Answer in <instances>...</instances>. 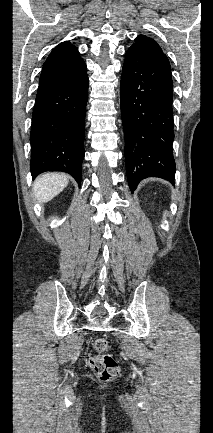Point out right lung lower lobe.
I'll return each mask as SVG.
<instances>
[{
    "instance_id": "98d812e1",
    "label": "right lung lower lobe",
    "mask_w": 213,
    "mask_h": 433,
    "mask_svg": "<svg viewBox=\"0 0 213 433\" xmlns=\"http://www.w3.org/2000/svg\"><path fill=\"white\" fill-rule=\"evenodd\" d=\"M87 68L81 58L44 66L30 134L31 173L63 171L81 183Z\"/></svg>"
}]
</instances>
